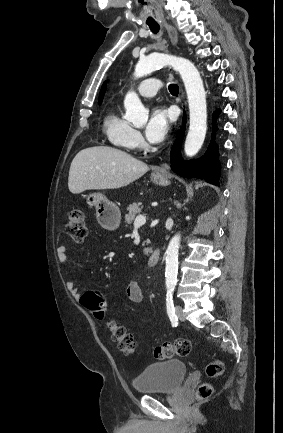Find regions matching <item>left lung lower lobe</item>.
Returning a JSON list of instances; mask_svg holds the SVG:
<instances>
[{
	"label": "left lung lower lobe",
	"mask_w": 283,
	"mask_h": 433,
	"mask_svg": "<svg viewBox=\"0 0 283 433\" xmlns=\"http://www.w3.org/2000/svg\"><path fill=\"white\" fill-rule=\"evenodd\" d=\"M220 113L221 110H217L213 114L212 139L205 155L198 160L187 162H183L180 157V148L185 130V120H183L180 134L171 149V168L176 174L185 178H203L207 182L219 186L221 165L218 160L217 145L214 141L216 132L214 124Z\"/></svg>",
	"instance_id": "left-lung-lower-lobe-1"
}]
</instances>
